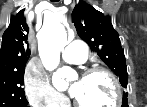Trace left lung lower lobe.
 Segmentation results:
<instances>
[{
    "instance_id": "obj_1",
    "label": "left lung lower lobe",
    "mask_w": 147,
    "mask_h": 107,
    "mask_svg": "<svg viewBox=\"0 0 147 107\" xmlns=\"http://www.w3.org/2000/svg\"><path fill=\"white\" fill-rule=\"evenodd\" d=\"M126 106H128V105H127V99H124V100H123V105H122V107H126Z\"/></svg>"
}]
</instances>
